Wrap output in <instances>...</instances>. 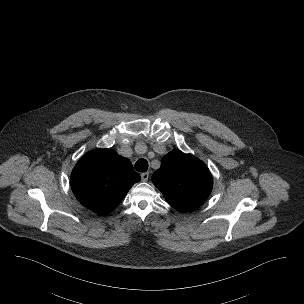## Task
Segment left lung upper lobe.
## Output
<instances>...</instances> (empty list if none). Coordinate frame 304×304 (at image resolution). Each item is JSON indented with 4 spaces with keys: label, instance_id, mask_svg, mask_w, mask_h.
I'll use <instances>...</instances> for the list:
<instances>
[{
    "label": "left lung upper lobe",
    "instance_id": "5c2ea615",
    "mask_svg": "<svg viewBox=\"0 0 304 304\" xmlns=\"http://www.w3.org/2000/svg\"><path fill=\"white\" fill-rule=\"evenodd\" d=\"M154 185L178 211L201 205L212 190L213 179L207 166L191 154L171 151L162 158L152 176Z\"/></svg>",
    "mask_w": 304,
    "mask_h": 304
}]
</instances>
